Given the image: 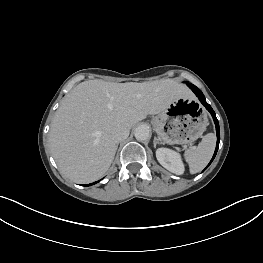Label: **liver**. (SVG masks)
Here are the masks:
<instances>
[{
  "label": "liver",
  "instance_id": "obj_1",
  "mask_svg": "<svg viewBox=\"0 0 263 263\" xmlns=\"http://www.w3.org/2000/svg\"><path fill=\"white\" fill-rule=\"evenodd\" d=\"M189 95L185 85L171 79L143 83L95 79L78 84L61 103L50 128L49 143L60 171L76 183L97 180L114 159L116 126L130 129L148 114H159Z\"/></svg>",
  "mask_w": 263,
  "mask_h": 263
}]
</instances>
